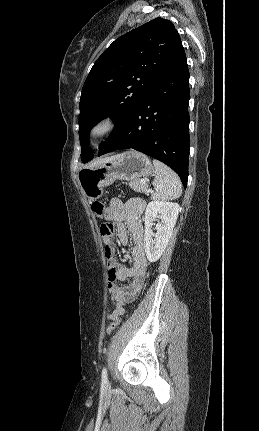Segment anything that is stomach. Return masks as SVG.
Listing matches in <instances>:
<instances>
[{
  "label": "stomach",
  "mask_w": 259,
  "mask_h": 431,
  "mask_svg": "<svg viewBox=\"0 0 259 431\" xmlns=\"http://www.w3.org/2000/svg\"><path fill=\"white\" fill-rule=\"evenodd\" d=\"M149 158L137 151H127L102 164L85 167L78 172V182L89 200L102 197L104 187L115 180L133 181L153 173Z\"/></svg>",
  "instance_id": "0dacf381"
}]
</instances>
